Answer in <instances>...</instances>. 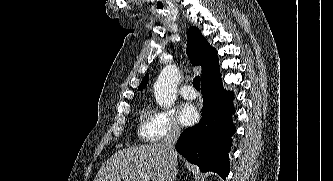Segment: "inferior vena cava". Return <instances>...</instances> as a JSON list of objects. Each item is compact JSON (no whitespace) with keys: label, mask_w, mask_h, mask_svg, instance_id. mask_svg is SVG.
Here are the masks:
<instances>
[{"label":"inferior vena cava","mask_w":333,"mask_h":181,"mask_svg":"<svg viewBox=\"0 0 333 181\" xmlns=\"http://www.w3.org/2000/svg\"><path fill=\"white\" fill-rule=\"evenodd\" d=\"M180 135V128L177 125H173L168 131L167 135L161 141V146L164 148L168 158V170L166 173V181H174L177 175L176 160L177 153L174 146Z\"/></svg>","instance_id":"obj_1"}]
</instances>
